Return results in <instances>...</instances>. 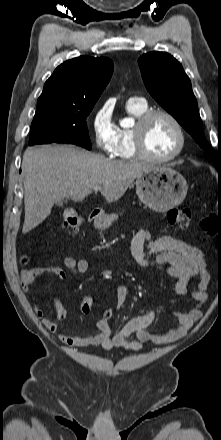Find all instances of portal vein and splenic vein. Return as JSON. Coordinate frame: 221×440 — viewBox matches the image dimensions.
Wrapping results in <instances>:
<instances>
[{"label":"portal vein and splenic vein","instance_id":"1","mask_svg":"<svg viewBox=\"0 0 221 440\" xmlns=\"http://www.w3.org/2000/svg\"><path fill=\"white\" fill-rule=\"evenodd\" d=\"M93 189L95 192H98L100 190V186H95Z\"/></svg>","mask_w":221,"mask_h":440}]
</instances>
